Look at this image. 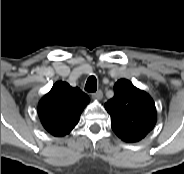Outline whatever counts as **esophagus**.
<instances>
[{"instance_id": "obj_1", "label": "esophagus", "mask_w": 184, "mask_h": 174, "mask_svg": "<svg viewBox=\"0 0 184 174\" xmlns=\"http://www.w3.org/2000/svg\"><path fill=\"white\" fill-rule=\"evenodd\" d=\"M91 96H92V98H93L94 100H101L102 97H103V93H102L101 90H99V91H97V92L92 93Z\"/></svg>"}]
</instances>
